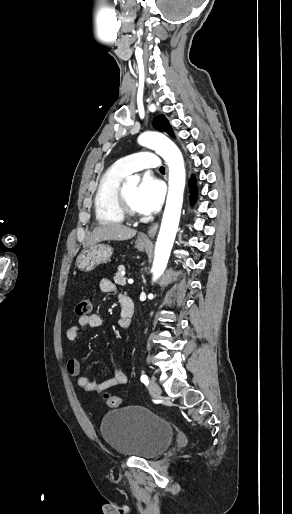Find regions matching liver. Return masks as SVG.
<instances>
[{
	"mask_svg": "<svg viewBox=\"0 0 292 514\" xmlns=\"http://www.w3.org/2000/svg\"><path fill=\"white\" fill-rule=\"evenodd\" d=\"M133 236H136V230H131L127 226L105 224V226L94 228L90 238H87L84 248H89V246H94V244L104 242V240H130Z\"/></svg>",
	"mask_w": 292,
	"mask_h": 514,
	"instance_id": "6515ba94",
	"label": "liver"
}]
</instances>
